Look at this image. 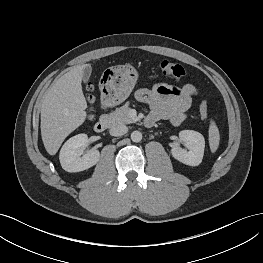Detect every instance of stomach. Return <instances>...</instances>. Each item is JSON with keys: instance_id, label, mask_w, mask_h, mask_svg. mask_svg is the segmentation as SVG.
I'll return each instance as SVG.
<instances>
[{"instance_id": "obj_1", "label": "stomach", "mask_w": 263, "mask_h": 263, "mask_svg": "<svg viewBox=\"0 0 263 263\" xmlns=\"http://www.w3.org/2000/svg\"><path fill=\"white\" fill-rule=\"evenodd\" d=\"M138 72L131 65L109 67L102 75L101 90L105 102L118 105L125 101L132 92Z\"/></svg>"}]
</instances>
